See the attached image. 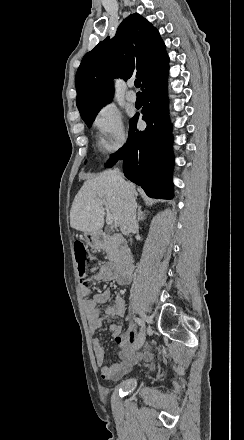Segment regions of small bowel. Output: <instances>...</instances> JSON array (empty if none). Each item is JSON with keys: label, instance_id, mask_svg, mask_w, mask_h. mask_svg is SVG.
I'll return each mask as SVG.
<instances>
[{"label": "small bowel", "instance_id": "small-bowel-1", "mask_svg": "<svg viewBox=\"0 0 244 440\" xmlns=\"http://www.w3.org/2000/svg\"><path fill=\"white\" fill-rule=\"evenodd\" d=\"M92 279L97 282L114 281L118 285H129L132 279L131 273L121 272L116 266L104 264ZM80 294L83 297L82 308L88 322L89 331L94 334L103 323L100 316V305L107 303L111 296V290L105 289L93 294L90 298V289L82 284ZM125 300L121 294H116L111 304L105 308V313L116 320L125 314ZM110 331L116 345L115 354L117 361L107 364L105 348L97 337L92 338V346L96 363L100 369V375L106 380H117L130 372L138 359H150L147 352L134 351V332L131 329L123 330L122 323L117 321L110 325Z\"/></svg>", "mask_w": 244, "mask_h": 440}]
</instances>
